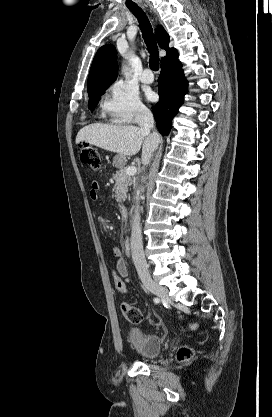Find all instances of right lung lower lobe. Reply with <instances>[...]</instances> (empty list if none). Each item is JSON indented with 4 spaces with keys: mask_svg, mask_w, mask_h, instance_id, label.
I'll list each match as a JSON object with an SVG mask.
<instances>
[{
    "mask_svg": "<svg viewBox=\"0 0 272 417\" xmlns=\"http://www.w3.org/2000/svg\"><path fill=\"white\" fill-rule=\"evenodd\" d=\"M159 102L152 108L159 132L168 135L173 117L184 101L188 82L184 77L178 52L173 50L161 60V73L158 79Z\"/></svg>",
    "mask_w": 272,
    "mask_h": 417,
    "instance_id": "98d812e1",
    "label": "right lung lower lobe"
}]
</instances>
